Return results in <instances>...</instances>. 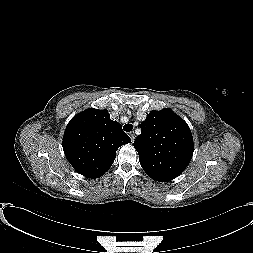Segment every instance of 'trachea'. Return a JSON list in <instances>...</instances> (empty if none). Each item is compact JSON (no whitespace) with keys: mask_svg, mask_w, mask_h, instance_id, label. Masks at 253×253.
Instances as JSON below:
<instances>
[{"mask_svg":"<svg viewBox=\"0 0 253 253\" xmlns=\"http://www.w3.org/2000/svg\"><path fill=\"white\" fill-rule=\"evenodd\" d=\"M123 129L126 131V132H131L132 129H133V125L132 124H125L123 126Z\"/></svg>","mask_w":253,"mask_h":253,"instance_id":"3493384b","label":"trachea"}]
</instances>
